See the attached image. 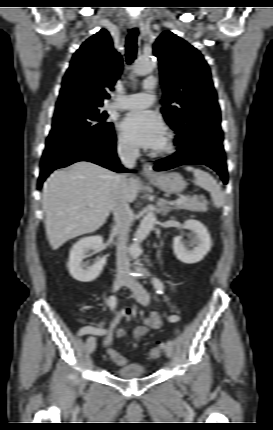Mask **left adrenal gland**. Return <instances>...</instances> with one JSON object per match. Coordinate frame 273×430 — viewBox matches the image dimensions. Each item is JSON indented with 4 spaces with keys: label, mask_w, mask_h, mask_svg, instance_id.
Returning a JSON list of instances; mask_svg holds the SVG:
<instances>
[{
    "label": "left adrenal gland",
    "mask_w": 273,
    "mask_h": 430,
    "mask_svg": "<svg viewBox=\"0 0 273 430\" xmlns=\"http://www.w3.org/2000/svg\"><path fill=\"white\" fill-rule=\"evenodd\" d=\"M159 206H160V212L162 213L163 216L167 215V213L173 209L172 207L166 206V204L163 201L159 203Z\"/></svg>",
    "instance_id": "1"
}]
</instances>
